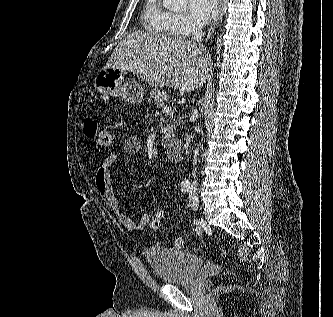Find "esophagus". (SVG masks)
<instances>
[{
    "label": "esophagus",
    "instance_id": "esophagus-1",
    "mask_svg": "<svg viewBox=\"0 0 333 317\" xmlns=\"http://www.w3.org/2000/svg\"><path fill=\"white\" fill-rule=\"evenodd\" d=\"M223 14H224L223 0H219L218 14L214 18V20H213V22H212V24L210 26V29H209V32H208V35H207L208 39L210 38L211 34L214 32V30L217 28V26L221 22Z\"/></svg>",
    "mask_w": 333,
    "mask_h": 317
}]
</instances>
